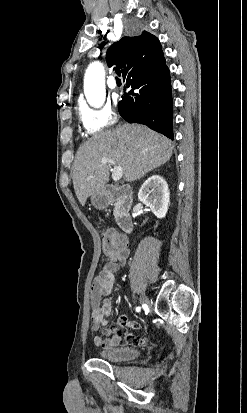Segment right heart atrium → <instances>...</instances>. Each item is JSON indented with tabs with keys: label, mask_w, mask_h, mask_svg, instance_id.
I'll return each instance as SVG.
<instances>
[{
	"label": "right heart atrium",
	"mask_w": 247,
	"mask_h": 413,
	"mask_svg": "<svg viewBox=\"0 0 247 413\" xmlns=\"http://www.w3.org/2000/svg\"><path fill=\"white\" fill-rule=\"evenodd\" d=\"M76 107L83 119V127L87 133H103L105 126H109V114H113V105H91L88 100H77Z\"/></svg>",
	"instance_id": "d8ad5b80"
}]
</instances>
